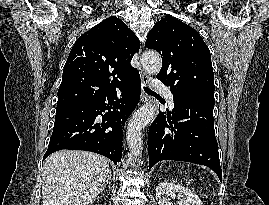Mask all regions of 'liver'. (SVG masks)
Returning a JSON list of instances; mask_svg holds the SVG:
<instances>
[{
	"label": "liver",
	"mask_w": 269,
	"mask_h": 205,
	"mask_svg": "<svg viewBox=\"0 0 269 205\" xmlns=\"http://www.w3.org/2000/svg\"><path fill=\"white\" fill-rule=\"evenodd\" d=\"M110 171L101 155L74 150L51 154L42 174L43 205H91Z\"/></svg>",
	"instance_id": "obj_1"
}]
</instances>
